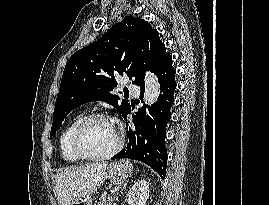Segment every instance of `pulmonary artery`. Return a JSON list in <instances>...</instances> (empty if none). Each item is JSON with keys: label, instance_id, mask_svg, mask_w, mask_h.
<instances>
[{"label": "pulmonary artery", "instance_id": "e3ab8cb5", "mask_svg": "<svg viewBox=\"0 0 269 205\" xmlns=\"http://www.w3.org/2000/svg\"><path fill=\"white\" fill-rule=\"evenodd\" d=\"M128 89L133 93V94H138L139 90L138 88L134 85V84H129L128 85Z\"/></svg>", "mask_w": 269, "mask_h": 205}]
</instances>
